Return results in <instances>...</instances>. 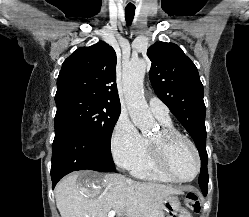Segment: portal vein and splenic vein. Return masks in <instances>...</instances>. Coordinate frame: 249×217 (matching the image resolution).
I'll list each match as a JSON object with an SVG mask.
<instances>
[{"mask_svg":"<svg viewBox=\"0 0 249 217\" xmlns=\"http://www.w3.org/2000/svg\"><path fill=\"white\" fill-rule=\"evenodd\" d=\"M116 214V210H112L108 213V217H114Z\"/></svg>","mask_w":249,"mask_h":217,"instance_id":"1","label":"portal vein and splenic vein"}]
</instances>
